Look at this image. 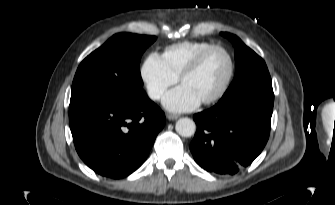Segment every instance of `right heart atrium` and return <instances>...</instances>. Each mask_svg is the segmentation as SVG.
I'll use <instances>...</instances> for the list:
<instances>
[{"label":"right heart atrium","instance_id":"d8ad5b80","mask_svg":"<svg viewBox=\"0 0 335 205\" xmlns=\"http://www.w3.org/2000/svg\"><path fill=\"white\" fill-rule=\"evenodd\" d=\"M140 78L148 96L153 100H159L168 88L178 81V76L167 67L157 53H150L145 58L140 68Z\"/></svg>","mask_w":335,"mask_h":205}]
</instances>
